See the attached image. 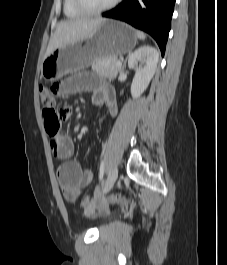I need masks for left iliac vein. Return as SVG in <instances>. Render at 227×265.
<instances>
[{"label":"left iliac vein","mask_w":227,"mask_h":265,"mask_svg":"<svg viewBox=\"0 0 227 265\" xmlns=\"http://www.w3.org/2000/svg\"><path fill=\"white\" fill-rule=\"evenodd\" d=\"M117 177H118V168H117V166H114L109 171L107 180L104 184L103 191H102L103 196L106 195L111 190Z\"/></svg>","instance_id":"1"}]
</instances>
